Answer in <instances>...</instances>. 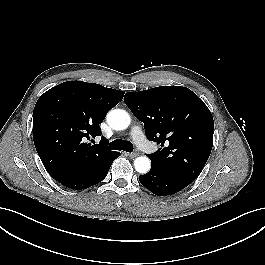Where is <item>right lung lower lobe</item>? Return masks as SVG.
<instances>
[{
	"instance_id": "1",
	"label": "right lung lower lobe",
	"mask_w": 265,
	"mask_h": 265,
	"mask_svg": "<svg viewBox=\"0 0 265 265\" xmlns=\"http://www.w3.org/2000/svg\"><path fill=\"white\" fill-rule=\"evenodd\" d=\"M119 156L116 152L104 163L91 168L80 169L54 177L62 185L74 189H87L101 182L107 175L112 162Z\"/></svg>"
}]
</instances>
